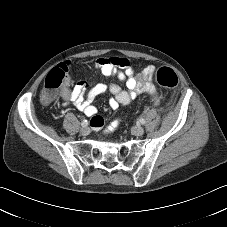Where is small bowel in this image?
I'll return each mask as SVG.
<instances>
[{
  "label": "small bowel",
  "mask_w": 227,
  "mask_h": 227,
  "mask_svg": "<svg viewBox=\"0 0 227 227\" xmlns=\"http://www.w3.org/2000/svg\"><path fill=\"white\" fill-rule=\"evenodd\" d=\"M68 67V64L64 63ZM95 67L107 77L116 76L124 84V88L117 83H96L89 85L85 81L77 82L71 88H64L60 95L63 105H73L81 110L86 116L91 117L97 114V109L93 105L95 98L109 91L112 98L109 100L111 108L127 106L137 95L148 94L153 100H157L158 93L151 82L155 67L148 65L138 74H135L133 65L125 59L117 57H100L95 62ZM103 127V124L97 129ZM115 125L109 124L105 127L106 132L114 130Z\"/></svg>",
  "instance_id": "1"
}]
</instances>
